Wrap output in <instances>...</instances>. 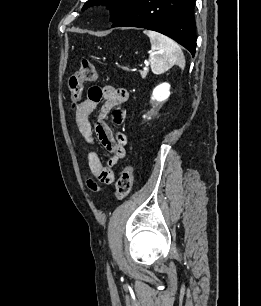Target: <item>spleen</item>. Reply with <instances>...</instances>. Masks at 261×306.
Instances as JSON below:
<instances>
[{
	"label": "spleen",
	"instance_id": "spleen-1",
	"mask_svg": "<svg viewBox=\"0 0 261 306\" xmlns=\"http://www.w3.org/2000/svg\"><path fill=\"white\" fill-rule=\"evenodd\" d=\"M144 33L151 42L150 63L154 74H162L174 65L184 69V54L175 41L155 31L145 30Z\"/></svg>",
	"mask_w": 261,
	"mask_h": 306
}]
</instances>
